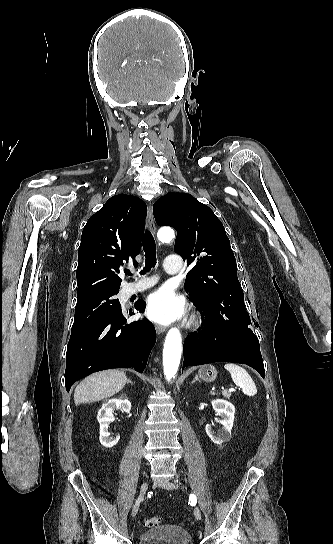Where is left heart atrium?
Wrapping results in <instances>:
<instances>
[{"mask_svg": "<svg viewBox=\"0 0 333 544\" xmlns=\"http://www.w3.org/2000/svg\"><path fill=\"white\" fill-rule=\"evenodd\" d=\"M184 311V300L168 288L159 289L147 299V316L161 324H168L180 318Z\"/></svg>", "mask_w": 333, "mask_h": 544, "instance_id": "left-heart-atrium-1", "label": "left heart atrium"}]
</instances>
